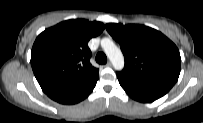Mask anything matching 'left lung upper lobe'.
Here are the masks:
<instances>
[{
	"instance_id": "1",
	"label": "left lung upper lobe",
	"mask_w": 203,
	"mask_h": 123,
	"mask_svg": "<svg viewBox=\"0 0 203 123\" xmlns=\"http://www.w3.org/2000/svg\"><path fill=\"white\" fill-rule=\"evenodd\" d=\"M106 29L124 54L125 66L117 76L166 93L173 87L180 74L181 57L171 40L139 24L109 23Z\"/></svg>"
}]
</instances>
